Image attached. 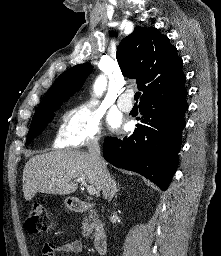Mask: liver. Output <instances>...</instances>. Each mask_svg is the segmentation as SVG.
<instances>
[{"instance_id": "1", "label": "liver", "mask_w": 221, "mask_h": 256, "mask_svg": "<svg viewBox=\"0 0 221 256\" xmlns=\"http://www.w3.org/2000/svg\"><path fill=\"white\" fill-rule=\"evenodd\" d=\"M79 178L101 191L100 170L90 153L63 150L36 155L25 164L23 194L27 201L37 193L68 195L78 187L72 180Z\"/></svg>"}]
</instances>
